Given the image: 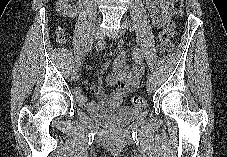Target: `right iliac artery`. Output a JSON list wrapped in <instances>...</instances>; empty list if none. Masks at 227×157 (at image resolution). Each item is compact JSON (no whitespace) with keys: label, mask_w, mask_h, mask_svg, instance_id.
I'll return each mask as SVG.
<instances>
[{"label":"right iliac artery","mask_w":227,"mask_h":157,"mask_svg":"<svg viewBox=\"0 0 227 157\" xmlns=\"http://www.w3.org/2000/svg\"><path fill=\"white\" fill-rule=\"evenodd\" d=\"M93 42H94L93 43V46L96 47V50H102L103 47H102V45L99 44L100 41L98 39V36H93ZM85 51H87V50H85ZM80 54H77L75 60H73V65H74L73 66V69L74 70H77L79 68V61H80V58H81V55Z\"/></svg>","instance_id":"obj_1"}]
</instances>
